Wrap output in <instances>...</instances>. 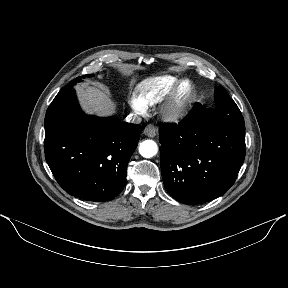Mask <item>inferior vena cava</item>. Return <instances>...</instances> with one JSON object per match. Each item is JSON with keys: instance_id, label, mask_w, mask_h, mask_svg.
<instances>
[{"instance_id": "obj_1", "label": "inferior vena cava", "mask_w": 288, "mask_h": 288, "mask_svg": "<svg viewBox=\"0 0 288 288\" xmlns=\"http://www.w3.org/2000/svg\"><path fill=\"white\" fill-rule=\"evenodd\" d=\"M141 117L136 115V114H129L127 117H126V121L127 122H131V123H140L141 122Z\"/></svg>"}]
</instances>
